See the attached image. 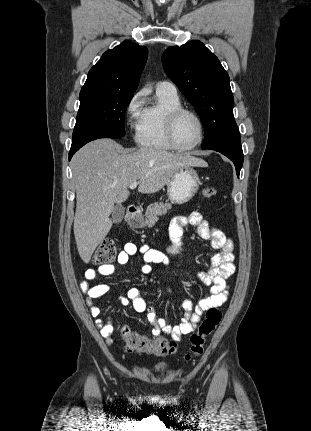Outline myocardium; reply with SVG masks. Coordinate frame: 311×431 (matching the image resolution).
<instances>
[{
	"label": "myocardium",
	"instance_id": "f54148a6",
	"mask_svg": "<svg viewBox=\"0 0 311 431\" xmlns=\"http://www.w3.org/2000/svg\"><path fill=\"white\" fill-rule=\"evenodd\" d=\"M184 114H192L194 115L201 126V135L199 136L197 142L191 146L188 147H183L181 146L176 138V126L178 123V120L180 119V117ZM166 133H167V138L169 140V142L171 143V145L177 149V150H181V151H189V150H193L195 148H197L203 141L204 136L207 133V126L205 123L204 118L201 116V114L191 108H186V107H179L176 108L172 111L169 112L167 119H166Z\"/></svg>",
	"mask_w": 311,
	"mask_h": 431
}]
</instances>
